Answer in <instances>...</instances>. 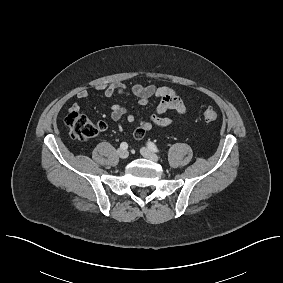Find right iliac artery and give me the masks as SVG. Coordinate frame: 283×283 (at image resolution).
<instances>
[{"label":"right iliac artery","instance_id":"1","mask_svg":"<svg viewBox=\"0 0 283 283\" xmlns=\"http://www.w3.org/2000/svg\"><path fill=\"white\" fill-rule=\"evenodd\" d=\"M121 149H127L128 148V144L126 142H122L120 144Z\"/></svg>","mask_w":283,"mask_h":283}]
</instances>
